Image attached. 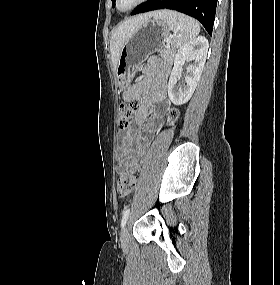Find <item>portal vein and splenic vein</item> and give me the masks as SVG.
Returning <instances> with one entry per match:
<instances>
[{"label":"portal vein and splenic vein","mask_w":280,"mask_h":285,"mask_svg":"<svg viewBox=\"0 0 280 285\" xmlns=\"http://www.w3.org/2000/svg\"><path fill=\"white\" fill-rule=\"evenodd\" d=\"M166 42H167L166 47H170L171 40H170V39H167Z\"/></svg>","instance_id":"1"}]
</instances>
